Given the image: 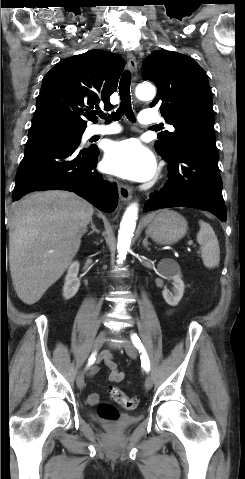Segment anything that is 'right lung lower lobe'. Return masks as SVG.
Here are the masks:
<instances>
[{"label":"right lung lower lobe","instance_id":"obj_1","mask_svg":"<svg viewBox=\"0 0 245 479\" xmlns=\"http://www.w3.org/2000/svg\"><path fill=\"white\" fill-rule=\"evenodd\" d=\"M78 147L75 140L54 139L26 149L16 174L13 201L33 191L67 190L100 210L113 212L118 189L94 170L98 148Z\"/></svg>","mask_w":245,"mask_h":479}]
</instances>
